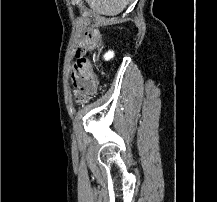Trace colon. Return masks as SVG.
Wrapping results in <instances>:
<instances>
[{"label":"colon","mask_w":217,"mask_h":202,"mask_svg":"<svg viewBox=\"0 0 217 202\" xmlns=\"http://www.w3.org/2000/svg\"><path fill=\"white\" fill-rule=\"evenodd\" d=\"M100 45V34L97 33L83 36V41H79V46H87L89 49L98 48ZM75 53L87 54V49H78ZM71 62L76 67L69 70V75H72L71 81L76 82V86H72V91H78L79 103H86L87 98H91L96 91H100V86H97L98 77L91 71L90 60L84 59L83 55H75V59Z\"/></svg>","instance_id":"1"}]
</instances>
